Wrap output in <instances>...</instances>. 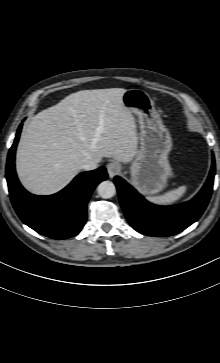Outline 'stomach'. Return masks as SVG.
I'll return each instance as SVG.
<instances>
[{"mask_svg":"<svg viewBox=\"0 0 220 363\" xmlns=\"http://www.w3.org/2000/svg\"><path fill=\"white\" fill-rule=\"evenodd\" d=\"M122 104L138 117L140 128V148L130 168L132 184L144 195L157 194L164 189L171 175L168 160L172 149L171 135L146 92L126 90Z\"/></svg>","mask_w":220,"mask_h":363,"instance_id":"0dacf381","label":"stomach"}]
</instances>
